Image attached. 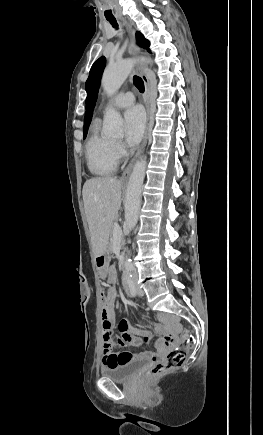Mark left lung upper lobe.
<instances>
[{
	"label": "left lung upper lobe",
	"mask_w": 263,
	"mask_h": 435,
	"mask_svg": "<svg viewBox=\"0 0 263 435\" xmlns=\"http://www.w3.org/2000/svg\"><path fill=\"white\" fill-rule=\"evenodd\" d=\"M136 37L139 45L150 52V50L148 49L150 46L149 41L145 39L140 32L136 33ZM105 63H106V59L104 56L100 57L98 60L95 61V63L91 67L89 77L85 84L87 98H86V114H85V121H84V138L87 135L88 127L92 119L93 109L97 99L98 88L100 85L101 75L105 68Z\"/></svg>",
	"instance_id": "1"
}]
</instances>
